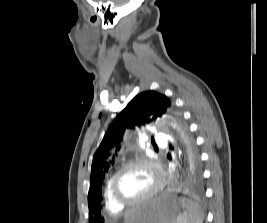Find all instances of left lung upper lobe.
I'll return each instance as SVG.
<instances>
[{"instance_id": "obj_1", "label": "left lung upper lobe", "mask_w": 267, "mask_h": 223, "mask_svg": "<svg viewBox=\"0 0 267 223\" xmlns=\"http://www.w3.org/2000/svg\"><path fill=\"white\" fill-rule=\"evenodd\" d=\"M157 118L165 120L177 132L185 153L187 171H202L195 141L190 136L181 115L175 110L174 103L158 92H142L116 117L93 156L91 186L88 193L89 214H106V206H101V187L115 152L121 148L119 143L123 140L126 130L141 129Z\"/></svg>"}]
</instances>
